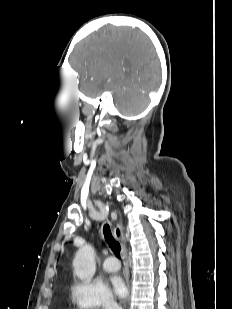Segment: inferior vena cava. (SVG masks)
Here are the masks:
<instances>
[{"label": "inferior vena cava", "instance_id": "obj_1", "mask_svg": "<svg viewBox=\"0 0 232 309\" xmlns=\"http://www.w3.org/2000/svg\"><path fill=\"white\" fill-rule=\"evenodd\" d=\"M105 309H122L119 307L114 301L110 300L109 302L106 303Z\"/></svg>", "mask_w": 232, "mask_h": 309}]
</instances>
